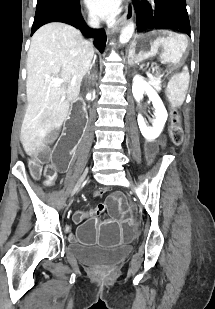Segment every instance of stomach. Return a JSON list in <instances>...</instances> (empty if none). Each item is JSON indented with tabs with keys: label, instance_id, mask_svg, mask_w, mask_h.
<instances>
[{
	"label": "stomach",
	"instance_id": "stomach-1",
	"mask_svg": "<svg viewBox=\"0 0 215 309\" xmlns=\"http://www.w3.org/2000/svg\"><path fill=\"white\" fill-rule=\"evenodd\" d=\"M188 38L167 29H153L135 34L129 47L132 64L158 56L163 63L178 66L187 57Z\"/></svg>",
	"mask_w": 215,
	"mask_h": 309
}]
</instances>
